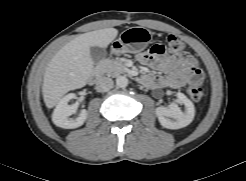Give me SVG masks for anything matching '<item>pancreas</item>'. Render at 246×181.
<instances>
[{
    "label": "pancreas",
    "mask_w": 246,
    "mask_h": 181,
    "mask_svg": "<svg viewBox=\"0 0 246 181\" xmlns=\"http://www.w3.org/2000/svg\"><path fill=\"white\" fill-rule=\"evenodd\" d=\"M99 70L103 74L116 77L127 71L120 59H105L99 65Z\"/></svg>",
    "instance_id": "obj_1"
}]
</instances>
